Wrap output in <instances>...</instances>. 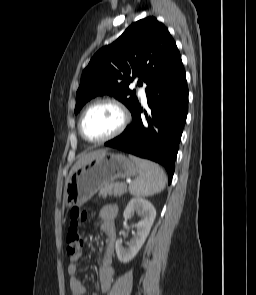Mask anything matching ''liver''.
Instances as JSON below:
<instances>
[{
    "mask_svg": "<svg viewBox=\"0 0 256 295\" xmlns=\"http://www.w3.org/2000/svg\"><path fill=\"white\" fill-rule=\"evenodd\" d=\"M107 152V150H96V151H92V152H88V153H84L80 159L74 164V166L71 169V172L69 173V176L67 177L66 183L68 182V180L70 179V177L72 176V174L79 168L81 167L83 164H85L86 162L90 161L93 158H96L97 156H99L100 154Z\"/></svg>",
    "mask_w": 256,
    "mask_h": 295,
    "instance_id": "obj_1",
    "label": "liver"
}]
</instances>
